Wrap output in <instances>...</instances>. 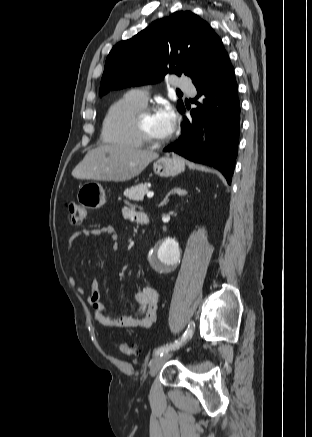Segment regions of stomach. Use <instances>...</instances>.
I'll return each mask as SVG.
<instances>
[{
  "label": "stomach",
  "mask_w": 312,
  "mask_h": 437,
  "mask_svg": "<svg viewBox=\"0 0 312 437\" xmlns=\"http://www.w3.org/2000/svg\"><path fill=\"white\" fill-rule=\"evenodd\" d=\"M153 170L160 177H172L185 170V163L179 156L167 154L153 163ZM77 199L85 208L96 210L105 204L106 195L101 184L88 181L79 188Z\"/></svg>",
  "instance_id": "1"
}]
</instances>
